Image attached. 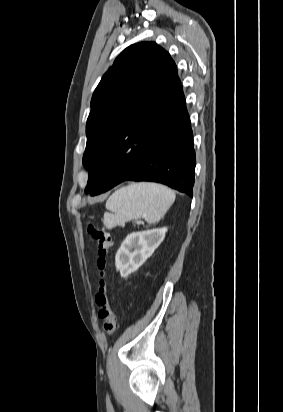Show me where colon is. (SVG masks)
<instances>
[{
  "label": "colon",
  "instance_id": "colon-1",
  "mask_svg": "<svg viewBox=\"0 0 283 412\" xmlns=\"http://www.w3.org/2000/svg\"><path fill=\"white\" fill-rule=\"evenodd\" d=\"M87 231L97 246V265L100 271L99 288L95 301L100 306L99 316L104 321L103 328L105 332L114 334L118 328V323L109 296V282L107 278V256L113 246V239L109 232L91 222L88 223Z\"/></svg>",
  "mask_w": 283,
  "mask_h": 412
}]
</instances>
